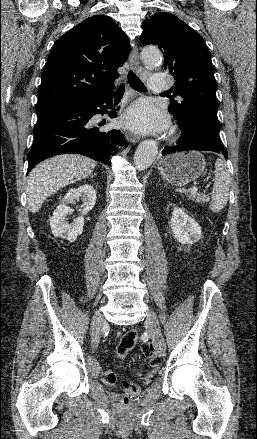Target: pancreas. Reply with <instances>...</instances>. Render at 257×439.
<instances>
[{"mask_svg":"<svg viewBox=\"0 0 257 439\" xmlns=\"http://www.w3.org/2000/svg\"><path fill=\"white\" fill-rule=\"evenodd\" d=\"M189 199L197 203H205L208 201L207 196L200 193L190 194Z\"/></svg>","mask_w":257,"mask_h":439,"instance_id":"cf45deb5","label":"pancreas"}]
</instances>
